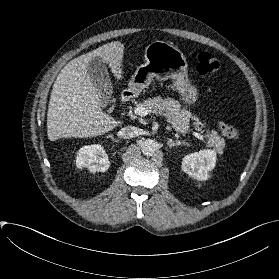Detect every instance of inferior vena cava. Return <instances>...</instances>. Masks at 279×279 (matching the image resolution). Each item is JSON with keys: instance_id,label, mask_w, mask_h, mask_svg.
Wrapping results in <instances>:
<instances>
[{"instance_id": "inferior-vena-cava-1", "label": "inferior vena cava", "mask_w": 279, "mask_h": 279, "mask_svg": "<svg viewBox=\"0 0 279 279\" xmlns=\"http://www.w3.org/2000/svg\"><path fill=\"white\" fill-rule=\"evenodd\" d=\"M138 134V129L135 126H126L118 132V136L123 139H130Z\"/></svg>"}]
</instances>
